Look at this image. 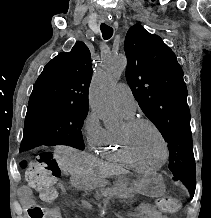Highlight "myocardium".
I'll return each instance as SVG.
<instances>
[{"label":"myocardium","mask_w":211,"mask_h":218,"mask_svg":"<svg viewBox=\"0 0 211 218\" xmlns=\"http://www.w3.org/2000/svg\"><path fill=\"white\" fill-rule=\"evenodd\" d=\"M143 124L150 126L159 137V140H160V143L162 146V150H163V157H162L161 162L158 163L157 165H150V164H146V163L141 162L140 160H138L135 157V155L132 151V147H131L132 132L137 127H139L140 125H143ZM119 135H120L121 144L123 146V149L133 164H136V165L148 168V169H154V168L161 166L165 162V160L167 158L166 140H165V137H164L162 131L160 130V128L152 120L147 119V118H141V117H133V118L126 121V123L124 124L122 129L119 131Z\"/></svg>","instance_id":"1"}]
</instances>
